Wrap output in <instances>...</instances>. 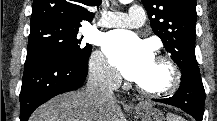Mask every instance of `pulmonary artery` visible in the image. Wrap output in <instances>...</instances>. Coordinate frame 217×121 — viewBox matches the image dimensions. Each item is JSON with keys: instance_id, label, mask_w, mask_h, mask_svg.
Segmentation results:
<instances>
[{"instance_id": "pulmonary-artery-1", "label": "pulmonary artery", "mask_w": 217, "mask_h": 121, "mask_svg": "<svg viewBox=\"0 0 217 121\" xmlns=\"http://www.w3.org/2000/svg\"><path fill=\"white\" fill-rule=\"evenodd\" d=\"M145 22V11L140 5H133L127 13L105 11L98 21L101 27H140Z\"/></svg>"}]
</instances>
